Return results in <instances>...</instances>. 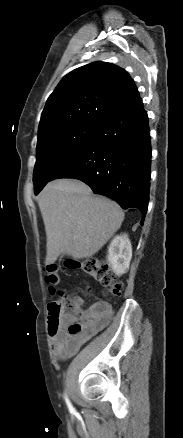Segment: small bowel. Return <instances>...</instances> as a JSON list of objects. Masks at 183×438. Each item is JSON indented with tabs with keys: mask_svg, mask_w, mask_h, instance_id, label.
I'll list each match as a JSON object with an SVG mask.
<instances>
[{
	"mask_svg": "<svg viewBox=\"0 0 183 438\" xmlns=\"http://www.w3.org/2000/svg\"><path fill=\"white\" fill-rule=\"evenodd\" d=\"M113 310L106 302H96L87 311V320L80 334L72 336L67 331L71 317H66L58 330L51 333L53 353L59 358L72 356L89 339L104 329L111 321Z\"/></svg>",
	"mask_w": 183,
	"mask_h": 438,
	"instance_id": "small-bowel-1",
	"label": "small bowel"
}]
</instances>
